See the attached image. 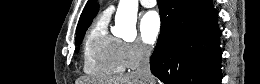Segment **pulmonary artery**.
Here are the masks:
<instances>
[{
    "label": "pulmonary artery",
    "instance_id": "obj_1",
    "mask_svg": "<svg viewBox=\"0 0 260 84\" xmlns=\"http://www.w3.org/2000/svg\"><path fill=\"white\" fill-rule=\"evenodd\" d=\"M140 3L146 8H152L156 5V1L154 0H141ZM113 10H114V6H110L106 10V12L110 14Z\"/></svg>",
    "mask_w": 260,
    "mask_h": 84
}]
</instances>
